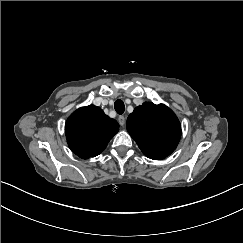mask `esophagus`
Returning <instances> with one entry per match:
<instances>
[{"label":"esophagus","instance_id":"34e87169","mask_svg":"<svg viewBox=\"0 0 243 243\" xmlns=\"http://www.w3.org/2000/svg\"><path fill=\"white\" fill-rule=\"evenodd\" d=\"M118 122H119V124H120L121 126H124V124H125V117L122 116V115H120V116L118 117Z\"/></svg>","mask_w":243,"mask_h":243}]
</instances>
